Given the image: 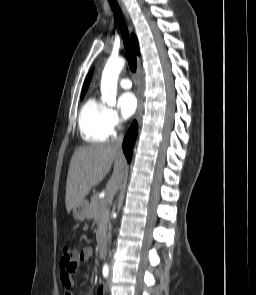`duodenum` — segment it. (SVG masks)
<instances>
[{"instance_id":"1","label":"duodenum","mask_w":256,"mask_h":295,"mask_svg":"<svg viewBox=\"0 0 256 295\" xmlns=\"http://www.w3.org/2000/svg\"><path fill=\"white\" fill-rule=\"evenodd\" d=\"M98 251L101 256L104 257L106 255V247H105V242H104L103 238H101L98 242Z\"/></svg>"}]
</instances>
